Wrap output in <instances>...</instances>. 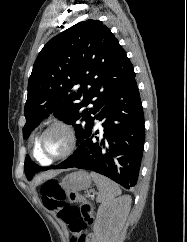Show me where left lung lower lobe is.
<instances>
[{"mask_svg": "<svg viewBox=\"0 0 187 242\" xmlns=\"http://www.w3.org/2000/svg\"><path fill=\"white\" fill-rule=\"evenodd\" d=\"M74 153L54 169L79 168L109 177L126 189L135 186L143 155L144 113L135 77L109 99Z\"/></svg>", "mask_w": 187, "mask_h": 242, "instance_id": "left-lung-lower-lobe-1", "label": "left lung lower lobe"}]
</instances>
